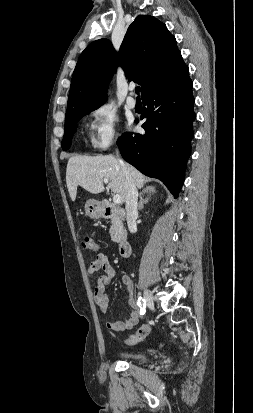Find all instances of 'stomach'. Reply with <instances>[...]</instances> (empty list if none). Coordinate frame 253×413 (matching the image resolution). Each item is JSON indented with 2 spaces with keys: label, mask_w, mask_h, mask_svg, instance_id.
I'll use <instances>...</instances> for the list:
<instances>
[{
  "label": "stomach",
  "mask_w": 253,
  "mask_h": 413,
  "mask_svg": "<svg viewBox=\"0 0 253 413\" xmlns=\"http://www.w3.org/2000/svg\"><path fill=\"white\" fill-rule=\"evenodd\" d=\"M104 208L100 202L90 199L85 204V213L91 218H100L103 216Z\"/></svg>",
  "instance_id": "0dacf381"
}]
</instances>
